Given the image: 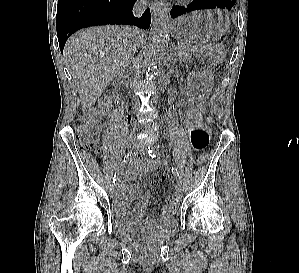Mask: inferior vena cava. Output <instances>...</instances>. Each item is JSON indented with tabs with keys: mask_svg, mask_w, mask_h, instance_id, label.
<instances>
[{
	"mask_svg": "<svg viewBox=\"0 0 299 273\" xmlns=\"http://www.w3.org/2000/svg\"><path fill=\"white\" fill-rule=\"evenodd\" d=\"M146 4H147L146 0H138L133 9L134 15L141 16L145 10ZM134 30L137 31L138 29H134ZM135 52H136V44L134 43V41H131L128 57L131 58L135 54Z\"/></svg>",
	"mask_w": 299,
	"mask_h": 273,
	"instance_id": "inferior-vena-cava-1",
	"label": "inferior vena cava"
}]
</instances>
